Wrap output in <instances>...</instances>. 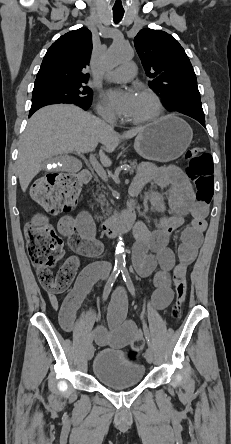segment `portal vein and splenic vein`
Here are the masks:
<instances>
[{"label":"portal vein and splenic vein","instance_id":"portal-vein-and-splenic-vein-1","mask_svg":"<svg viewBox=\"0 0 231 444\" xmlns=\"http://www.w3.org/2000/svg\"><path fill=\"white\" fill-rule=\"evenodd\" d=\"M90 164L92 165V167L94 168V170L96 171V173L98 174V176L103 180V181H108V176L107 173L105 172L104 168L99 164V162L96 160V158L94 156H90L89 158ZM123 166H121L119 168L122 169Z\"/></svg>","mask_w":231,"mask_h":444}]
</instances>
